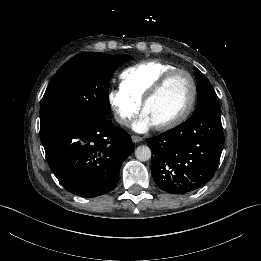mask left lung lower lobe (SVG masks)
<instances>
[{
	"mask_svg": "<svg viewBox=\"0 0 261 261\" xmlns=\"http://www.w3.org/2000/svg\"><path fill=\"white\" fill-rule=\"evenodd\" d=\"M146 142L155 151L151 171L162 190L199 189L213 178L224 146L219 108L211 104L196 110L183 124Z\"/></svg>",
	"mask_w": 261,
	"mask_h": 261,
	"instance_id": "1",
	"label": "left lung lower lobe"
}]
</instances>
